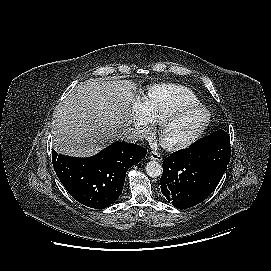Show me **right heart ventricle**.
<instances>
[{
    "mask_svg": "<svg viewBox=\"0 0 271 271\" xmlns=\"http://www.w3.org/2000/svg\"><path fill=\"white\" fill-rule=\"evenodd\" d=\"M196 103H200L198 96L185 86L156 84L148 88L143 99V109L150 123H158L169 112Z\"/></svg>",
    "mask_w": 271,
    "mask_h": 271,
    "instance_id": "1",
    "label": "right heart ventricle"
}]
</instances>
